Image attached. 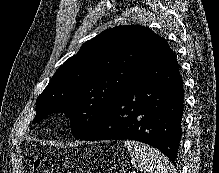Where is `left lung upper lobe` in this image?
Listing matches in <instances>:
<instances>
[{
  "mask_svg": "<svg viewBox=\"0 0 219 173\" xmlns=\"http://www.w3.org/2000/svg\"><path fill=\"white\" fill-rule=\"evenodd\" d=\"M164 41L138 25L117 26L87 41L38 96L33 123L61 112L70 118L74 137L86 135L137 82L139 69Z\"/></svg>",
  "mask_w": 219,
  "mask_h": 173,
  "instance_id": "obj_1",
  "label": "left lung upper lobe"
}]
</instances>
